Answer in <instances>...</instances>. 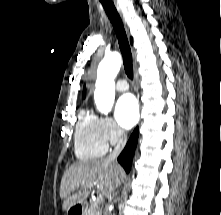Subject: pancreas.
<instances>
[{"mask_svg":"<svg viewBox=\"0 0 221 215\" xmlns=\"http://www.w3.org/2000/svg\"><path fill=\"white\" fill-rule=\"evenodd\" d=\"M84 215H101V209L96 206H91L85 210Z\"/></svg>","mask_w":221,"mask_h":215,"instance_id":"1","label":"pancreas"}]
</instances>
